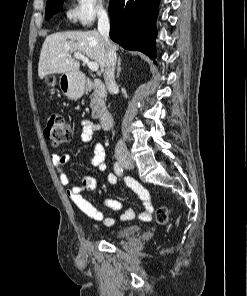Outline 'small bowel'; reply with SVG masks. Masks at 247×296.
Listing matches in <instances>:
<instances>
[{"label":"small bowel","instance_id":"1","mask_svg":"<svg viewBox=\"0 0 247 296\" xmlns=\"http://www.w3.org/2000/svg\"><path fill=\"white\" fill-rule=\"evenodd\" d=\"M81 125V140L86 144H92L94 135L100 131V125L87 119H83L81 121ZM51 160L54 167L58 170L60 181L62 185L66 188L67 196L74 203V205L88 218L97 222H101L107 227L113 226L116 221L114 217L105 216L102 211H100L82 196V192L91 191L96 188V179L92 176H85L80 180L79 183H73L69 175L64 170V166L69 160V154L67 153H53L51 155ZM91 163L93 167L99 172H102L106 169L105 151L99 143H93V157ZM120 181L121 178L116 176L114 173H109L107 175V182L111 185H116ZM124 181L132 195H138L140 198L146 201L145 209L140 214V218L142 220L149 219L151 217V207L147 202L148 195L146 191L134 179L126 178L124 179ZM102 206L114 211L122 210L121 203L114 199H107L103 201ZM146 214L149 215L148 218L145 217ZM135 215V209L133 207H130L126 209L123 213H121L118 219L121 221L132 220L135 218Z\"/></svg>","mask_w":247,"mask_h":296}]
</instances>
